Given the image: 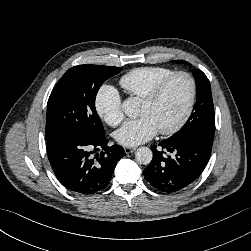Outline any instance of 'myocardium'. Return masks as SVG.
Returning a JSON list of instances; mask_svg holds the SVG:
<instances>
[{"mask_svg": "<svg viewBox=\"0 0 251 251\" xmlns=\"http://www.w3.org/2000/svg\"><path fill=\"white\" fill-rule=\"evenodd\" d=\"M178 77H184L187 79L189 86H190V94L187 106L185 108V111L181 118L175 123L173 126L165 129H159V133L162 135H172L178 132L188 121L190 118L195 101L197 96V85L194 77L186 72V71H177L165 78L163 81H161L159 84H157L145 97L142 98V102L145 104H153L156 102L160 96L163 94V92L166 90V88L171 84L173 80H175Z\"/></svg>", "mask_w": 251, "mask_h": 251, "instance_id": "obj_1", "label": "myocardium"}]
</instances>
